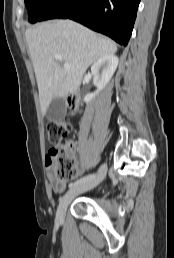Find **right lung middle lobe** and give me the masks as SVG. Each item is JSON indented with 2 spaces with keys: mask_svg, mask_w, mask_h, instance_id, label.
I'll list each match as a JSON object with an SVG mask.
<instances>
[{
  "mask_svg": "<svg viewBox=\"0 0 174 258\" xmlns=\"http://www.w3.org/2000/svg\"><path fill=\"white\" fill-rule=\"evenodd\" d=\"M52 1L53 0H25L28 8V21L30 23L41 21Z\"/></svg>",
  "mask_w": 174,
  "mask_h": 258,
  "instance_id": "1",
  "label": "right lung middle lobe"
}]
</instances>
